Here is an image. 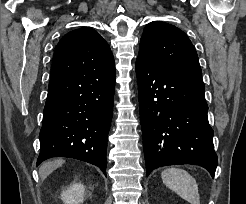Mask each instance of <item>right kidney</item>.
I'll use <instances>...</instances> for the list:
<instances>
[{"mask_svg":"<svg viewBox=\"0 0 246 204\" xmlns=\"http://www.w3.org/2000/svg\"><path fill=\"white\" fill-rule=\"evenodd\" d=\"M85 188L81 183H74L65 189L61 194V199L65 204H81L84 200Z\"/></svg>","mask_w":246,"mask_h":204,"instance_id":"right-kidney-1","label":"right kidney"}]
</instances>
